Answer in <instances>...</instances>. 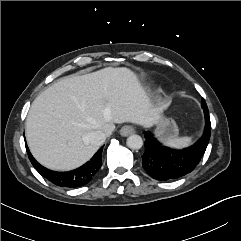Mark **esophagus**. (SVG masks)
I'll use <instances>...</instances> for the list:
<instances>
[{"mask_svg":"<svg viewBox=\"0 0 241 241\" xmlns=\"http://www.w3.org/2000/svg\"><path fill=\"white\" fill-rule=\"evenodd\" d=\"M135 133V129L134 127L130 126V125H125L120 129V134L122 136H128Z\"/></svg>","mask_w":241,"mask_h":241,"instance_id":"esophagus-1","label":"esophagus"}]
</instances>
